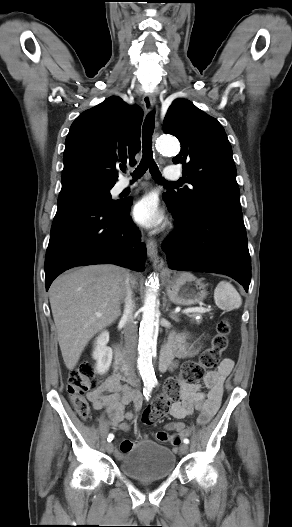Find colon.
<instances>
[{
	"instance_id": "colon-1",
	"label": "colon",
	"mask_w": 292,
	"mask_h": 527,
	"mask_svg": "<svg viewBox=\"0 0 292 527\" xmlns=\"http://www.w3.org/2000/svg\"><path fill=\"white\" fill-rule=\"evenodd\" d=\"M231 325L227 319H222L216 326L211 347L203 352L198 361L185 363L177 377L170 378L165 385V392L156 397L142 414L145 425L158 423L169 411L172 401L177 399L179 383L198 384L207 372L214 370L221 361V356L229 345ZM99 381L92 363L84 362L73 368L67 381L69 399L77 414L86 419L90 414V407L85 394L96 390Z\"/></svg>"
}]
</instances>
